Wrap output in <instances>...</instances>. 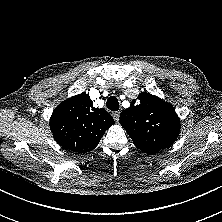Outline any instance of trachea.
I'll list each match as a JSON object with an SVG mask.
<instances>
[{
	"label": "trachea",
	"mask_w": 222,
	"mask_h": 222,
	"mask_svg": "<svg viewBox=\"0 0 222 222\" xmlns=\"http://www.w3.org/2000/svg\"><path fill=\"white\" fill-rule=\"evenodd\" d=\"M106 106L111 111H118L119 110V102L115 96H111L108 98L106 102Z\"/></svg>",
	"instance_id": "obj_1"
}]
</instances>
